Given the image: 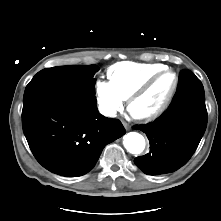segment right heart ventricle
Here are the masks:
<instances>
[{"instance_id":"e07e8e85","label":"right heart ventricle","mask_w":221,"mask_h":221,"mask_svg":"<svg viewBox=\"0 0 221 221\" xmlns=\"http://www.w3.org/2000/svg\"><path fill=\"white\" fill-rule=\"evenodd\" d=\"M166 68L164 64L120 62L107 70L110 84L124 99H128L146 80Z\"/></svg>"}]
</instances>
